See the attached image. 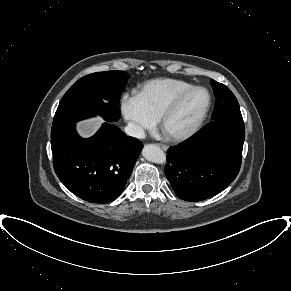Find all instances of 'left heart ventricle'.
<instances>
[{
	"mask_svg": "<svg viewBox=\"0 0 291 291\" xmlns=\"http://www.w3.org/2000/svg\"><path fill=\"white\" fill-rule=\"evenodd\" d=\"M207 103V94L196 90L189 94L166 123V131L180 133L190 128L197 120Z\"/></svg>",
	"mask_w": 291,
	"mask_h": 291,
	"instance_id": "left-heart-ventricle-1",
	"label": "left heart ventricle"
}]
</instances>
